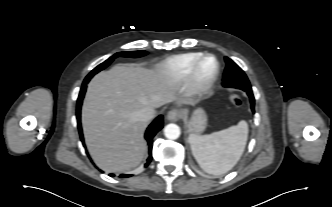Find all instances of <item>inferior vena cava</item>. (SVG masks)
Wrapping results in <instances>:
<instances>
[{"label":"inferior vena cava","instance_id":"1","mask_svg":"<svg viewBox=\"0 0 332 207\" xmlns=\"http://www.w3.org/2000/svg\"><path fill=\"white\" fill-rule=\"evenodd\" d=\"M155 115V110L151 107H145L136 113L137 118L142 122L150 121Z\"/></svg>","mask_w":332,"mask_h":207}]
</instances>
